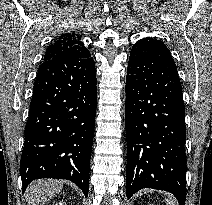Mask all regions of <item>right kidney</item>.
I'll list each match as a JSON object with an SVG mask.
<instances>
[{
    "label": "right kidney",
    "mask_w": 212,
    "mask_h": 205,
    "mask_svg": "<svg viewBox=\"0 0 212 205\" xmlns=\"http://www.w3.org/2000/svg\"><path fill=\"white\" fill-rule=\"evenodd\" d=\"M56 205H64L63 203H59V204H56Z\"/></svg>",
    "instance_id": "right-kidney-1"
}]
</instances>
